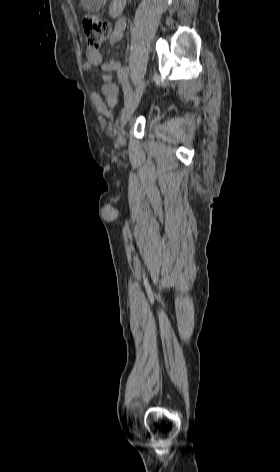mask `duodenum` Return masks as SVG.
Returning <instances> with one entry per match:
<instances>
[{
	"label": "duodenum",
	"mask_w": 280,
	"mask_h": 472,
	"mask_svg": "<svg viewBox=\"0 0 280 472\" xmlns=\"http://www.w3.org/2000/svg\"><path fill=\"white\" fill-rule=\"evenodd\" d=\"M126 0H113L110 6V16L117 17L124 9Z\"/></svg>",
	"instance_id": "duodenum-1"
}]
</instances>
